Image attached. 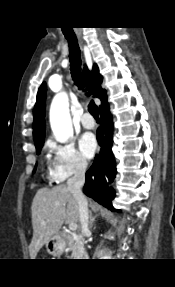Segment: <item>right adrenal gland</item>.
<instances>
[{
	"mask_svg": "<svg viewBox=\"0 0 175 287\" xmlns=\"http://www.w3.org/2000/svg\"><path fill=\"white\" fill-rule=\"evenodd\" d=\"M94 220H95V217H93L92 213L90 212V222H89V228L90 229H92Z\"/></svg>",
	"mask_w": 175,
	"mask_h": 287,
	"instance_id": "right-adrenal-gland-1",
	"label": "right adrenal gland"
}]
</instances>
